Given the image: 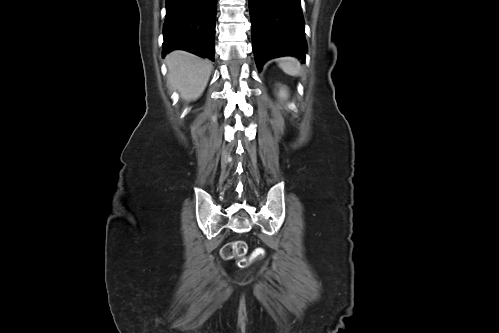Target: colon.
<instances>
[{
	"instance_id": "1",
	"label": "colon",
	"mask_w": 499,
	"mask_h": 333,
	"mask_svg": "<svg viewBox=\"0 0 499 333\" xmlns=\"http://www.w3.org/2000/svg\"><path fill=\"white\" fill-rule=\"evenodd\" d=\"M221 254L225 259H235L241 268L249 266L253 259V257L247 256V244L241 240L227 243L222 248Z\"/></svg>"
}]
</instances>
